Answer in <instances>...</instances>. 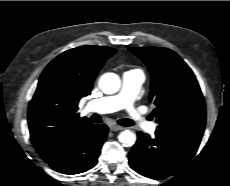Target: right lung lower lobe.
I'll return each instance as SVG.
<instances>
[{
	"label": "right lung lower lobe",
	"instance_id": "98d812e1",
	"mask_svg": "<svg viewBox=\"0 0 230 186\" xmlns=\"http://www.w3.org/2000/svg\"><path fill=\"white\" fill-rule=\"evenodd\" d=\"M107 133L105 124L89 123L40 156L60 173L72 175L85 172L96 165Z\"/></svg>",
	"mask_w": 230,
	"mask_h": 186
}]
</instances>
